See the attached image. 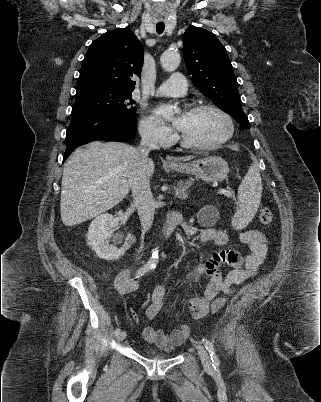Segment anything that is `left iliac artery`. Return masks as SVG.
Here are the masks:
<instances>
[{
	"label": "left iliac artery",
	"instance_id": "1",
	"mask_svg": "<svg viewBox=\"0 0 321 402\" xmlns=\"http://www.w3.org/2000/svg\"><path fill=\"white\" fill-rule=\"evenodd\" d=\"M203 343H204V346H205V348L207 349V351H208V353L210 355L213 367H218L219 366V359L217 357V354L215 352L213 344L207 338L203 339Z\"/></svg>",
	"mask_w": 321,
	"mask_h": 402
}]
</instances>
